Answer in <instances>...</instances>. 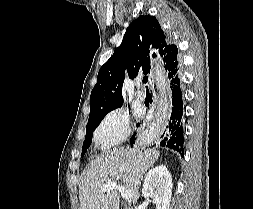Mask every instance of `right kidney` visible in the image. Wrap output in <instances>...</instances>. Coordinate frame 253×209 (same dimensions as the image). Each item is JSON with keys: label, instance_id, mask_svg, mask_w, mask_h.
<instances>
[{"label": "right kidney", "instance_id": "obj_1", "mask_svg": "<svg viewBox=\"0 0 253 209\" xmlns=\"http://www.w3.org/2000/svg\"><path fill=\"white\" fill-rule=\"evenodd\" d=\"M172 176L165 165L151 169L145 176L142 195L152 198L156 209H169L172 196Z\"/></svg>", "mask_w": 253, "mask_h": 209}]
</instances>
